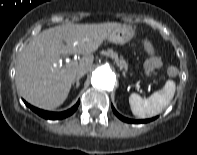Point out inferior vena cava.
Returning a JSON list of instances; mask_svg holds the SVG:
<instances>
[{"label":"inferior vena cava","mask_w":197,"mask_h":155,"mask_svg":"<svg viewBox=\"0 0 197 155\" xmlns=\"http://www.w3.org/2000/svg\"><path fill=\"white\" fill-rule=\"evenodd\" d=\"M88 72V69L86 68H81L77 71V77L78 76H84Z\"/></svg>","instance_id":"inferior-vena-cava-1"}]
</instances>
